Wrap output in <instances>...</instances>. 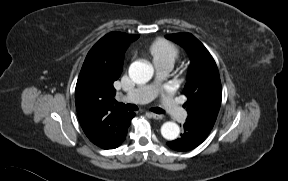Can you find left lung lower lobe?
<instances>
[{
	"label": "left lung lower lobe",
	"mask_w": 288,
	"mask_h": 181,
	"mask_svg": "<svg viewBox=\"0 0 288 181\" xmlns=\"http://www.w3.org/2000/svg\"><path fill=\"white\" fill-rule=\"evenodd\" d=\"M213 127L195 121L186 120L181 137L170 141L167 145L173 150L189 151L200 145Z\"/></svg>",
	"instance_id": "left-lung-lower-lobe-1"
}]
</instances>
